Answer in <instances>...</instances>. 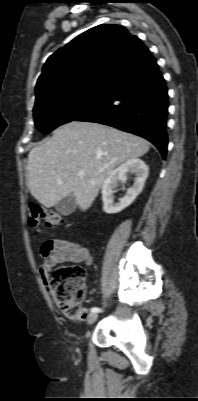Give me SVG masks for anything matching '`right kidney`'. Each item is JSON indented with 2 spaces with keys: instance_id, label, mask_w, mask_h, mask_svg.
Instances as JSON below:
<instances>
[{
  "instance_id": "obj_1",
  "label": "right kidney",
  "mask_w": 198,
  "mask_h": 401,
  "mask_svg": "<svg viewBox=\"0 0 198 401\" xmlns=\"http://www.w3.org/2000/svg\"><path fill=\"white\" fill-rule=\"evenodd\" d=\"M135 174L134 184L126 192V195L119 199V202H114L113 193L119 182L127 180V174ZM148 177V167L141 159H131L115 170H113L102 186L103 209L108 214H114L128 207L136 197L141 193L145 181Z\"/></svg>"
}]
</instances>
